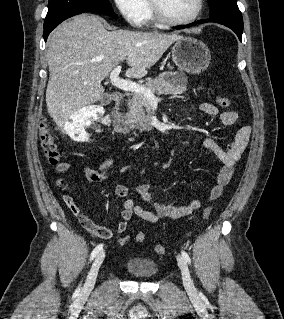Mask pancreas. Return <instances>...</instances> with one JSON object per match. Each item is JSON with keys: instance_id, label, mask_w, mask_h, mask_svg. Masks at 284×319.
I'll return each instance as SVG.
<instances>
[{"instance_id": "1", "label": "pancreas", "mask_w": 284, "mask_h": 319, "mask_svg": "<svg viewBox=\"0 0 284 319\" xmlns=\"http://www.w3.org/2000/svg\"><path fill=\"white\" fill-rule=\"evenodd\" d=\"M183 77L182 82L177 78ZM187 79L184 74L179 72H164L155 79L147 78L144 87L150 89L152 93L161 94H181L186 91ZM129 112L126 118L132 128L140 131H150L152 129L151 104L143 94L133 93L132 98L128 100Z\"/></svg>"}]
</instances>
